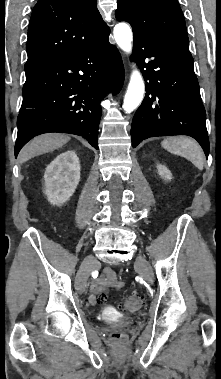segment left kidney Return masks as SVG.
<instances>
[{
  "label": "left kidney",
  "instance_id": "5707ae66",
  "mask_svg": "<svg viewBox=\"0 0 221 379\" xmlns=\"http://www.w3.org/2000/svg\"><path fill=\"white\" fill-rule=\"evenodd\" d=\"M157 170H158L159 175L163 179H165V180H171L172 179V174H171L170 170L166 166L158 164L157 165Z\"/></svg>",
  "mask_w": 221,
  "mask_h": 379
}]
</instances>
